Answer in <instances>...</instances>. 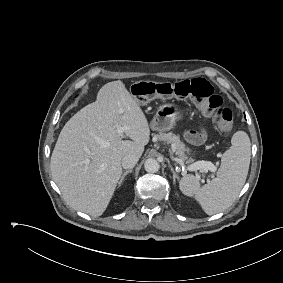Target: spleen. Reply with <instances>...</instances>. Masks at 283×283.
Wrapping results in <instances>:
<instances>
[{"mask_svg":"<svg viewBox=\"0 0 283 283\" xmlns=\"http://www.w3.org/2000/svg\"><path fill=\"white\" fill-rule=\"evenodd\" d=\"M232 146L224 152L216 178L200 187L192 175L181 178L179 188L183 194L194 196L208 215L224 211L238 197L247 178L251 143L244 131L236 132L231 139Z\"/></svg>","mask_w":283,"mask_h":283,"instance_id":"spleen-1","label":"spleen"}]
</instances>
